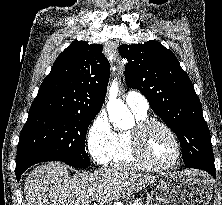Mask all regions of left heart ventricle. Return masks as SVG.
<instances>
[{"mask_svg": "<svg viewBox=\"0 0 222 205\" xmlns=\"http://www.w3.org/2000/svg\"><path fill=\"white\" fill-rule=\"evenodd\" d=\"M145 149L150 158L161 165L171 163L176 155L173 139L160 127H154L147 132L145 136Z\"/></svg>", "mask_w": 222, "mask_h": 205, "instance_id": "left-heart-ventricle-1", "label": "left heart ventricle"}]
</instances>
